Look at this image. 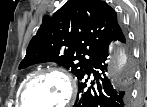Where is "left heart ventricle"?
I'll return each instance as SVG.
<instances>
[{"label": "left heart ventricle", "mask_w": 147, "mask_h": 107, "mask_svg": "<svg viewBox=\"0 0 147 107\" xmlns=\"http://www.w3.org/2000/svg\"><path fill=\"white\" fill-rule=\"evenodd\" d=\"M67 97V85L57 75H43L28 88L25 100L29 107H54Z\"/></svg>", "instance_id": "obj_1"}]
</instances>
